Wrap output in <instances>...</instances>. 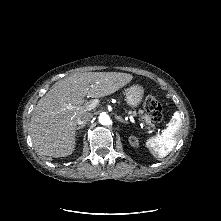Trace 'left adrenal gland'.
<instances>
[{"mask_svg": "<svg viewBox=\"0 0 221 221\" xmlns=\"http://www.w3.org/2000/svg\"><path fill=\"white\" fill-rule=\"evenodd\" d=\"M117 119H118L121 123H128L126 120L122 119L120 116H118Z\"/></svg>", "mask_w": 221, "mask_h": 221, "instance_id": "obj_1", "label": "left adrenal gland"}]
</instances>
